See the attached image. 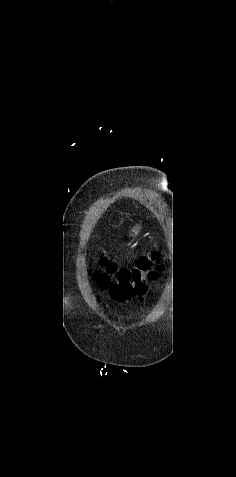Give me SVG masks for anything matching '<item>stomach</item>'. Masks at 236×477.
<instances>
[{"instance_id":"stomach-1","label":"stomach","mask_w":236,"mask_h":477,"mask_svg":"<svg viewBox=\"0 0 236 477\" xmlns=\"http://www.w3.org/2000/svg\"><path fill=\"white\" fill-rule=\"evenodd\" d=\"M140 232H141V226L136 225L130 230L129 235L132 237H136L140 234Z\"/></svg>"}]
</instances>
